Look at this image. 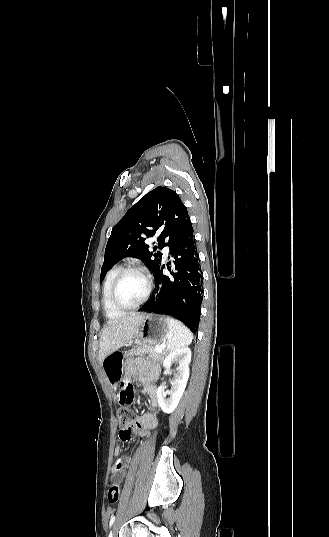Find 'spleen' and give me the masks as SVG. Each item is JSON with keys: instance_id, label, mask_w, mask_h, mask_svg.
<instances>
[{"instance_id": "3e777b00", "label": "spleen", "mask_w": 329, "mask_h": 537, "mask_svg": "<svg viewBox=\"0 0 329 537\" xmlns=\"http://www.w3.org/2000/svg\"><path fill=\"white\" fill-rule=\"evenodd\" d=\"M169 336L166 347L169 351L178 350L191 344L193 335L191 331L179 320L168 318Z\"/></svg>"}]
</instances>
